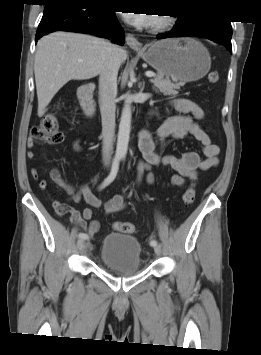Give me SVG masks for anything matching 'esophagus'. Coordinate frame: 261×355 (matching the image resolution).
<instances>
[{"instance_id": "1", "label": "esophagus", "mask_w": 261, "mask_h": 355, "mask_svg": "<svg viewBox=\"0 0 261 355\" xmlns=\"http://www.w3.org/2000/svg\"><path fill=\"white\" fill-rule=\"evenodd\" d=\"M126 43L134 50H140L142 48V44L131 34H127Z\"/></svg>"}]
</instances>
